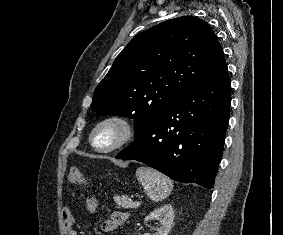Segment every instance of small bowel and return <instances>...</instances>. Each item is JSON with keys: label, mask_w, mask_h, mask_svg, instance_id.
I'll use <instances>...</instances> for the list:
<instances>
[{"label": "small bowel", "mask_w": 283, "mask_h": 235, "mask_svg": "<svg viewBox=\"0 0 283 235\" xmlns=\"http://www.w3.org/2000/svg\"><path fill=\"white\" fill-rule=\"evenodd\" d=\"M128 215L123 212H115L111 215L110 219L106 220L102 224V230L105 233H113L127 220ZM63 220L66 228L69 230L68 235H77L76 231L71 229L73 223V216L70 210L63 211Z\"/></svg>", "instance_id": "c3829d8e"}]
</instances>
